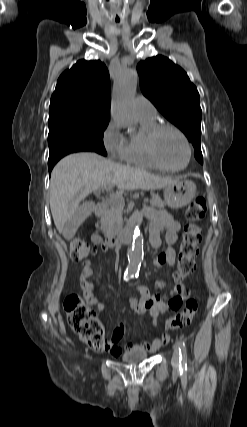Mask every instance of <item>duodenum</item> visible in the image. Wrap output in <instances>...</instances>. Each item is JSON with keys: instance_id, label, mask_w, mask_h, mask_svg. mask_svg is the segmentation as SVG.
<instances>
[{"instance_id": "obj_1", "label": "duodenum", "mask_w": 247, "mask_h": 427, "mask_svg": "<svg viewBox=\"0 0 247 427\" xmlns=\"http://www.w3.org/2000/svg\"><path fill=\"white\" fill-rule=\"evenodd\" d=\"M107 209V205L104 202H99L95 207V215L101 216ZM134 226L131 223L126 224L123 230L117 234L111 235L107 239V246L112 249L119 248L121 245L129 244L133 238Z\"/></svg>"}]
</instances>
